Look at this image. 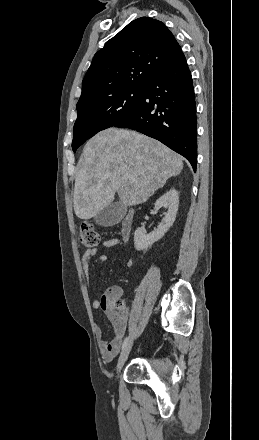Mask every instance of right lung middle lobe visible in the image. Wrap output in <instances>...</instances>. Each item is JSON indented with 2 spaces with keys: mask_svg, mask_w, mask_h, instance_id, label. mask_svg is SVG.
I'll list each match as a JSON object with an SVG mask.
<instances>
[{
  "mask_svg": "<svg viewBox=\"0 0 259 440\" xmlns=\"http://www.w3.org/2000/svg\"><path fill=\"white\" fill-rule=\"evenodd\" d=\"M146 90L147 88L120 90L77 108L73 151L99 131L112 127L131 115L141 103Z\"/></svg>",
  "mask_w": 259,
  "mask_h": 440,
  "instance_id": "obj_1",
  "label": "right lung middle lobe"
}]
</instances>
